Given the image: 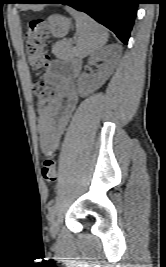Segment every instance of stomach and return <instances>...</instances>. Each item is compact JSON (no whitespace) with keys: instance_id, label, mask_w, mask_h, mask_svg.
I'll return each instance as SVG.
<instances>
[{"instance_id":"stomach-1","label":"stomach","mask_w":166,"mask_h":267,"mask_svg":"<svg viewBox=\"0 0 166 267\" xmlns=\"http://www.w3.org/2000/svg\"><path fill=\"white\" fill-rule=\"evenodd\" d=\"M70 25V20L59 14L51 15L47 19V28L56 38H62L67 35Z\"/></svg>"}]
</instances>
